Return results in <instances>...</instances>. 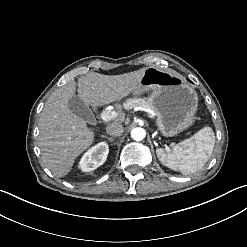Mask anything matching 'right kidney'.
Listing matches in <instances>:
<instances>
[{"label":"right kidney","instance_id":"1","mask_svg":"<svg viewBox=\"0 0 247 247\" xmlns=\"http://www.w3.org/2000/svg\"><path fill=\"white\" fill-rule=\"evenodd\" d=\"M109 153V146L105 142H100L89 149L81 158L78 168L83 172H91L101 166Z\"/></svg>","mask_w":247,"mask_h":247}]
</instances>
